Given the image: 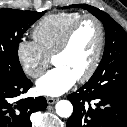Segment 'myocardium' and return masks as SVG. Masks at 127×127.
I'll list each match as a JSON object with an SVG mask.
<instances>
[{"instance_id": "obj_1", "label": "myocardium", "mask_w": 127, "mask_h": 127, "mask_svg": "<svg viewBox=\"0 0 127 127\" xmlns=\"http://www.w3.org/2000/svg\"><path fill=\"white\" fill-rule=\"evenodd\" d=\"M86 20L93 21L96 24V26L98 27L99 41H98V46L95 51L93 60L90 64L89 68L86 70V72L84 74H82L80 77L77 78V81H79V82H85V81L89 80L93 76V74L95 73V71L97 70V68L100 64L104 45H105V29H104V25H103L102 21L99 18H97L96 16L91 15V14H85V15L80 16L65 32L61 42L59 43L58 47L56 48V50L54 51V53L52 55V61L54 62V60L57 57L63 55L68 50L71 40H72L76 30Z\"/></svg>"}]
</instances>
